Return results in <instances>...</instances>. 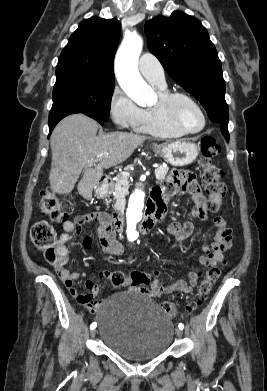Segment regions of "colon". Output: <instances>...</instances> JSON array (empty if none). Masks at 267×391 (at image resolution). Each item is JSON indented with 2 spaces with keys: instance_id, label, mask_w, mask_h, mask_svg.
<instances>
[{
  "instance_id": "1",
  "label": "colon",
  "mask_w": 267,
  "mask_h": 391,
  "mask_svg": "<svg viewBox=\"0 0 267 391\" xmlns=\"http://www.w3.org/2000/svg\"><path fill=\"white\" fill-rule=\"evenodd\" d=\"M200 151L202 180L209 197L207 208L211 212H217L223 205L227 191L222 181L224 173L213 162V159L220 152V146L214 138L205 137L202 139ZM70 206L71 204L68 200L59 197L51 189H46L42 192L40 210L43 215L55 222H64L67 220ZM31 239L34 245L43 252L46 261L54 264L57 260L55 247L56 233L51 224L47 221L36 222L31 229ZM221 271L222 264H216L209 269L199 286L197 299L188 306L190 312L195 311L202 304L220 277ZM149 281V275L145 272L133 271L129 274L116 272L112 276L111 284L113 286L129 285L143 292L148 289ZM162 309L171 318L177 315V308L172 302L166 301L162 303Z\"/></svg>"
}]
</instances>
